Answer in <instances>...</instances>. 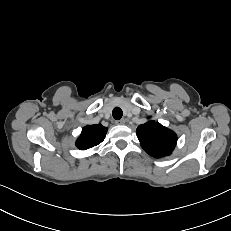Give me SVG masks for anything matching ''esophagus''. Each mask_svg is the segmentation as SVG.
<instances>
[{
	"label": "esophagus",
	"mask_w": 231,
	"mask_h": 231,
	"mask_svg": "<svg viewBox=\"0 0 231 231\" xmlns=\"http://www.w3.org/2000/svg\"><path fill=\"white\" fill-rule=\"evenodd\" d=\"M116 125H123L125 123V120L124 119H121V120H116L114 122Z\"/></svg>",
	"instance_id": "esophagus-1"
}]
</instances>
